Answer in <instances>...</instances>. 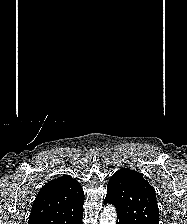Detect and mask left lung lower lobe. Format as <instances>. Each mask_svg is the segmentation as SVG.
<instances>
[{
	"instance_id": "left-lung-lower-lobe-1",
	"label": "left lung lower lobe",
	"mask_w": 187,
	"mask_h": 224,
	"mask_svg": "<svg viewBox=\"0 0 187 224\" xmlns=\"http://www.w3.org/2000/svg\"><path fill=\"white\" fill-rule=\"evenodd\" d=\"M104 204H107L106 202H104ZM116 224H124L123 221L119 218H117V223Z\"/></svg>"
}]
</instances>
